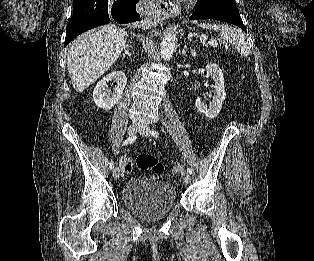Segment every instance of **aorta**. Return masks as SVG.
<instances>
[{"label":"aorta","mask_w":314,"mask_h":261,"mask_svg":"<svg viewBox=\"0 0 314 261\" xmlns=\"http://www.w3.org/2000/svg\"><path fill=\"white\" fill-rule=\"evenodd\" d=\"M175 34L173 32L166 33L161 42V56L164 60H170L172 58L175 48Z\"/></svg>","instance_id":"obj_1"}]
</instances>
